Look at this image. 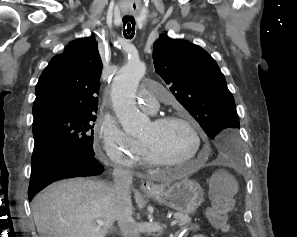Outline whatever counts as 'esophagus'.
Listing matches in <instances>:
<instances>
[{"label":"esophagus","mask_w":297,"mask_h":237,"mask_svg":"<svg viewBox=\"0 0 297 237\" xmlns=\"http://www.w3.org/2000/svg\"><path fill=\"white\" fill-rule=\"evenodd\" d=\"M141 189L143 191H155V190H157V187L151 181H143L142 184H141Z\"/></svg>","instance_id":"1"}]
</instances>
